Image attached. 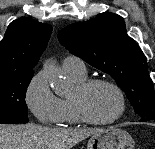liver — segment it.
<instances>
[{"label": "liver", "instance_id": "liver-1", "mask_svg": "<svg viewBox=\"0 0 155 149\" xmlns=\"http://www.w3.org/2000/svg\"><path fill=\"white\" fill-rule=\"evenodd\" d=\"M101 131L98 128H50L33 123L0 124V149H72L77 143Z\"/></svg>", "mask_w": 155, "mask_h": 149}]
</instances>
